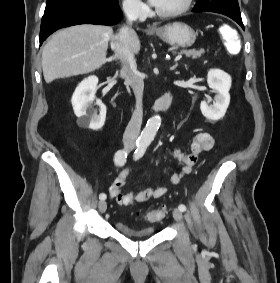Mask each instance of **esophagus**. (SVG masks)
Here are the masks:
<instances>
[{
    "mask_svg": "<svg viewBox=\"0 0 280 283\" xmlns=\"http://www.w3.org/2000/svg\"><path fill=\"white\" fill-rule=\"evenodd\" d=\"M148 28H149V29H153L154 27L149 25Z\"/></svg>",
    "mask_w": 280,
    "mask_h": 283,
    "instance_id": "34e87169",
    "label": "esophagus"
}]
</instances>
